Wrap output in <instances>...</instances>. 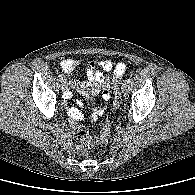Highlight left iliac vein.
<instances>
[{
	"label": "left iliac vein",
	"instance_id": "4c4485c4",
	"mask_svg": "<svg viewBox=\"0 0 195 195\" xmlns=\"http://www.w3.org/2000/svg\"><path fill=\"white\" fill-rule=\"evenodd\" d=\"M122 92L126 94L129 90V84L125 81L121 86Z\"/></svg>",
	"mask_w": 195,
	"mask_h": 195
}]
</instances>
